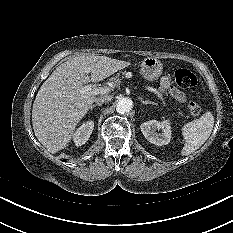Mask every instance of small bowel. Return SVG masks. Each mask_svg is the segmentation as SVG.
I'll list each match as a JSON object with an SVG mask.
<instances>
[{
	"label": "small bowel",
	"mask_w": 233,
	"mask_h": 233,
	"mask_svg": "<svg viewBox=\"0 0 233 233\" xmlns=\"http://www.w3.org/2000/svg\"><path fill=\"white\" fill-rule=\"evenodd\" d=\"M160 89L163 92H168L170 96L179 103H184L186 101V96L179 89L174 87L167 77L162 78Z\"/></svg>",
	"instance_id": "small-bowel-1"
}]
</instances>
